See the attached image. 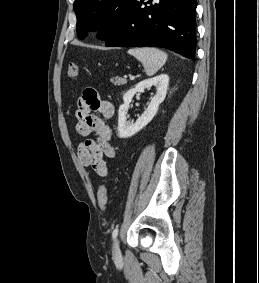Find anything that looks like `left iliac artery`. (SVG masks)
<instances>
[{
	"label": "left iliac artery",
	"instance_id": "left-iliac-artery-1",
	"mask_svg": "<svg viewBox=\"0 0 259 283\" xmlns=\"http://www.w3.org/2000/svg\"><path fill=\"white\" fill-rule=\"evenodd\" d=\"M118 235V228H115L112 232V238L115 239Z\"/></svg>",
	"mask_w": 259,
	"mask_h": 283
}]
</instances>
